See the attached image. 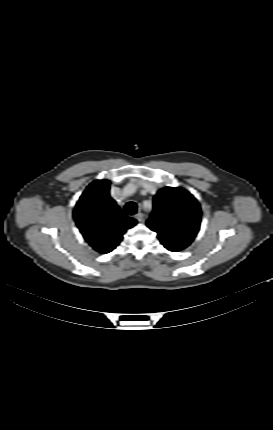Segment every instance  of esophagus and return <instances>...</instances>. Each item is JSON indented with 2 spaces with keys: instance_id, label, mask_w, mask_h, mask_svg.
<instances>
[{
  "instance_id": "1",
  "label": "esophagus",
  "mask_w": 273,
  "mask_h": 430,
  "mask_svg": "<svg viewBox=\"0 0 273 430\" xmlns=\"http://www.w3.org/2000/svg\"><path fill=\"white\" fill-rule=\"evenodd\" d=\"M135 218L139 221V222H144V215L142 213H137L135 215Z\"/></svg>"
}]
</instances>
